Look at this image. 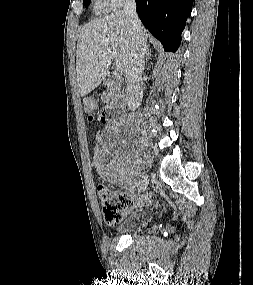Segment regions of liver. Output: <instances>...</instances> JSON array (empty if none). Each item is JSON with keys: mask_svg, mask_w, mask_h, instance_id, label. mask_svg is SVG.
I'll return each mask as SVG.
<instances>
[{"mask_svg": "<svg viewBox=\"0 0 253 285\" xmlns=\"http://www.w3.org/2000/svg\"><path fill=\"white\" fill-rule=\"evenodd\" d=\"M145 43L149 37L143 27ZM133 45L131 25L123 11L86 24L79 34L76 51L77 86L83 97L94 90L108 73L113 59L120 60V72L125 73Z\"/></svg>", "mask_w": 253, "mask_h": 285, "instance_id": "1", "label": "liver"}]
</instances>
